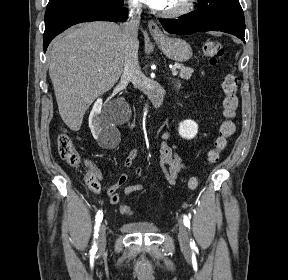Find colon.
<instances>
[{"instance_id":"5ec220e1","label":"colon","mask_w":288,"mask_h":280,"mask_svg":"<svg viewBox=\"0 0 288 280\" xmlns=\"http://www.w3.org/2000/svg\"><path fill=\"white\" fill-rule=\"evenodd\" d=\"M202 49L204 56L209 60L211 64H216V62L224 54V46L221 42L216 40L205 41ZM222 89L224 92V98L222 102L224 120L221 123L220 135L216 139L214 147L207 153V161L209 163H215L219 159L221 152L227 147L228 139L235 132V123L233 119L239 104L237 97V76L234 74H227L222 81ZM57 148L60 157L70 166H85L86 182L89 188L93 191H98L99 182L94 169L88 164V162L81 159L70 134L66 130H63L57 136ZM198 185L199 181L196 177H191L187 182V187L189 190H196ZM120 211L124 215L133 214L132 208L127 204H122Z\"/></svg>"}]
</instances>
